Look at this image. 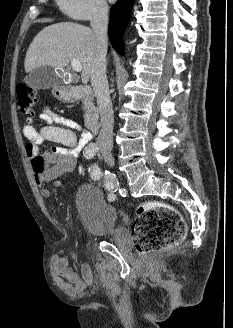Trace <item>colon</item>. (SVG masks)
<instances>
[{
	"label": "colon",
	"mask_w": 233,
	"mask_h": 328,
	"mask_svg": "<svg viewBox=\"0 0 233 328\" xmlns=\"http://www.w3.org/2000/svg\"><path fill=\"white\" fill-rule=\"evenodd\" d=\"M16 93L20 112L29 117L37 103V92L21 82L17 84ZM33 163L37 172H43L46 158L38 156ZM185 235L186 223L176 208L161 202H147L138 206L132 241L139 254L171 249L181 243Z\"/></svg>",
	"instance_id": "obj_1"
}]
</instances>
